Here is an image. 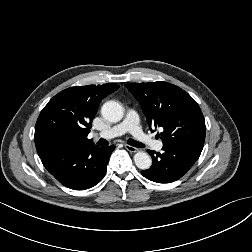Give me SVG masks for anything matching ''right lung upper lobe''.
Listing matches in <instances>:
<instances>
[{"instance_id":"right-lung-upper-lobe-1","label":"right lung upper lobe","mask_w":252,"mask_h":252,"mask_svg":"<svg viewBox=\"0 0 252 252\" xmlns=\"http://www.w3.org/2000/svg\"><path fill=\"white\" fill-rule=\"evenodd\" d=\"M119 88L117 84L76 86L55 95L42 109L35 126L39 157L63 145H94L87 139L101 100Z\"/></svg>"}]
</instances>
